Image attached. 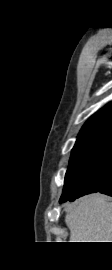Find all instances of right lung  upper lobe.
<instances>
[{
	"mask_svg": "<svg viewBox=\"0 0 112 270\" xmlns=\"http://www.w3.org/2000/svg\"><path fill=\"white\" fill-rule=\"evenodd\" d=\"M103 126H112V102L91 116L83 125L79 135Z\"/></svg>",
	"mask_w": 112,
	"mask_h": 270,
	"instance_id": "cb5924a9",
	"label": "right lung upper lobe"
}]
</instances>
